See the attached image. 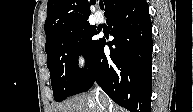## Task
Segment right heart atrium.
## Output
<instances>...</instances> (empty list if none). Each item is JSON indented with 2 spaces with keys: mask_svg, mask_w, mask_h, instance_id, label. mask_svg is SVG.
I'll list each match as a JSON object with an SVG mask.
<instances>
[{
  "mask_svg": "<svg viewBox=\"0 0 193 112\" xmlns=\"http://www.w3.org/2000/svg\"><path fill=\"white\" fill-rule=\"evenodd\" d=\"M73 65L77 71H83L88 65V54L82 44L77 45L72 54Z\"/></svg>",
  "mask_w": 193,
  "mask_h": 112,
  "instance_id": "1",
  "label": "right heart atrium"
}]
</instances>
